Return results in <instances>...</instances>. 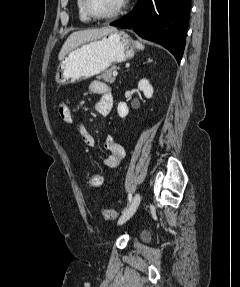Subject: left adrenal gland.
<instances>
[{
    "label": "left adrenal gland",
    "mask_w": 240,
    "mask_h": 287,
    "mask_svg": "<svg viewBox=\"0 0 240 287\" xmlns=\"http://www.w3.org/2000/svg\"><path fill=\"white\" fill-rule=\"evenodd\" d=\"M147 61H148V62H151L152 60H151V59H147Z\"/></svg>",
    "instance_id": "1"
}]
</instances>
